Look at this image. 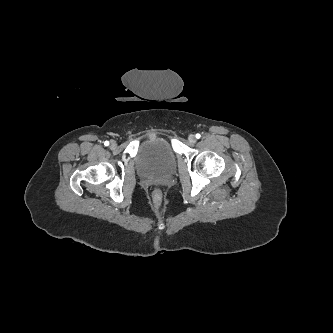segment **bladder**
<instances>
[{"label":"bladder","instance_id":"obj_1","mask_svg":"<svg viewBox=\"0 0 333 333\" xmlns=\"http://www.w3.org/2000/svg\"><path fill=\"white\" fill-rule=\"evenodd\" d=\"M135 164L145 177H168L176 171V157L169 143L161 137L144 140L138 148Z\"/></svg>","mask_w":333,"mask_h":333}]
</instances>
